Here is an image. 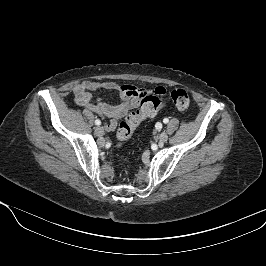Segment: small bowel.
I'll return each instance as SVG.
<instances>
[{"mask_svg":"<svg viewBox=\"0 0 266 266\" xmlns=\"http://www.w3.org/2000/svg\"><path fill=\"white\" fill-rule=\"evenodd\" d=\"M105 89L115 90L119 93L120 101L115 105L104 103L100 100H93L92 92ZM75 103L88 111L108 118L106 124L108 131H114L117 121L123 118L129 111L139 107L143 95L148 93L164 94L163 87H156L148 90L133 85L117 84L113 81H83L73 88Z\"/></svg>","mask_w":266,"mask_h":266,"instance_id":"c3829d8e","label":"small bowel"}]
</instances>
